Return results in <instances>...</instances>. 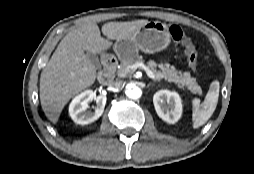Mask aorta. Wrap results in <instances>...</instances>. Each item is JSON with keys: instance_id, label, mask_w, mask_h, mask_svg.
I'll use <instances>...</instances> for the list:
<instances>
[{"instance_id": "obj_1", "label": "aorta", "mask_w": 254, "mask_h": 174, "mask_svg": "<svg viewBox=\"0 0 254 174\" xmlns=\"http://www.w3.org/2000/svg\"><path fill=\"white\" fill-rule=\"evenodd\" d=\"M125 94L130 99H138L140 98L142 92L139 87L134 84H127L125 88Z\"/></svg>"}]
</instances>
